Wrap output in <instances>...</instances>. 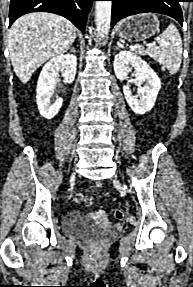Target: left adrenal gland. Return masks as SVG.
<instances>
[{"instance_id":"obj_1","label":"left adrenal gland","mask_w":193,"mask_h":287,"mask_svg":"<svg viewBox=\"0 0 193 287\" xmlns=\"http://www.w3.org/2000/svg\"><path fill=\"white\" fill-rule=\"evenodd\" d=\"M119 47H121V44L119 42H117V46L115 48L119 49Z\"/></svg>"}]
</instances>
